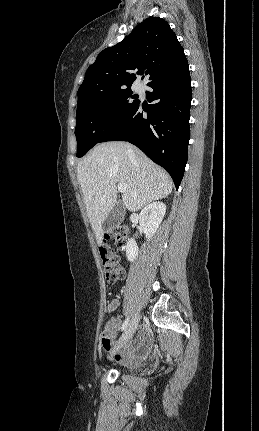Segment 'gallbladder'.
I'll use <instances>...</instances> for the list:
<instances>
[{
    "mask_svg": "<svg viewBox=\"0 0 259 431\" xmlns=\"http://www.w3.org/2000/svg\"><path fill=\"white\" fill-rule=\"evenodd\" d=\"M123 219L124 206L122 205L121 201H117L102 224L103 231L107 233L110 232L112 229L121 224Z\"/></svg>",
    "mask_w": 259,
    "mask_h": 431,
    "instance_id": "1",
    "label": "gallbladder"
}]
</instances>
